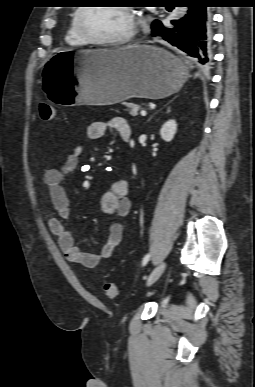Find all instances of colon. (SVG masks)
<instances>
[{
  "label": "colon",
  "instance_id": "colon-1",
  "mask_svg": "<svg viewBox=\"0 0 255 387\" xmlns=\"http://www.w3.org/2000/svg\"><path fill=\"white\" fill-rule=\"evenodd\" d=\"M39 116L42 120H53L55 116V109L47 103L39 105ZM103 293L109 298H114L118 294L117 286L114 282L108 281L103 285Z\"/></svg>",
  "mask_w": 255,
  "mask_h": 387
}]
</instances>
